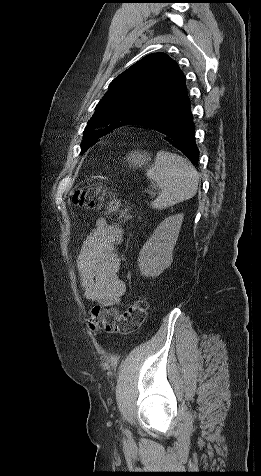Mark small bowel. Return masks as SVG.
I'll use <instances>...</instances> for the list:
<instances>
[{"mask_svg": "<svg viewBox=\"0 0 261 476\" xmlns=\"http://www.w3.org/2000/svg\"><path fill=\"white\" fill-rule=\"evenodd\" d=\"M121 240L119 227L99 219L95 229L83 241L77 256V272L86 300L103 307L119 305L126 290L119 277L117 246Z\"/></svg>", "mask_w": 261, "mask_h": 476, "instance_id": "c3829d8e", "label": "small bowel"}]
</instances>
